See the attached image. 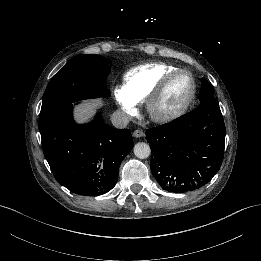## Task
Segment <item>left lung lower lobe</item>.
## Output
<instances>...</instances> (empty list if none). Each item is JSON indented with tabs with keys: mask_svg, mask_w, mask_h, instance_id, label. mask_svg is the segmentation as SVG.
Instances as JSON below:
<instances>
[{
	"mask_svg": "<svg viewBox=\"0 0 261 261\" xmlns=\"http://www.w3.org/2000/svg\"><path fill=\"white\" fill-rule=\"evenodd\" d=\"M153 148L150 168L168 192L193 191L218 172L225 148V124L216 98L202 101L192 112L146 130Z\"/></svg>",
	"mask_w": 261,
	"mask_h": 261,
	"instance_id": "1",
	"label": "left lung lower lobe"
}]
</instances>
